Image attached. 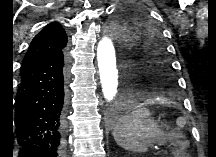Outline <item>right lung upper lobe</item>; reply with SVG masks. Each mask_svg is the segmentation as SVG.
Listing matches in <instances>:
<instances>
[{"label": "right lung upper lobe", "instance_id": "right-lung-upper-lobe-1", "mask_svg": "<svg viewBox=\"0 0 216 157\" xmlns=\"http://www.w3.org/2000/svg\"><path fill=\"white\" fill-rule=\"evenodd\" d=\"M66 44L67 35L62 26L57 22L48 24L32 40L23 60L20 74L62 53Z\"/></svg>", "mask_w": 216, "mask_h": 157}]
</instances>
